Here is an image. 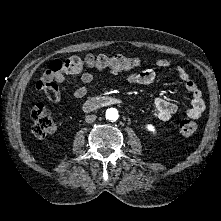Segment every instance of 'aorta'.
I'll list each match as a JSON object with an SVG mask.
<instances>
[{"label":"aorta","mask_w":221,"mask_h":221,"mask_svg":"<svg viewBox=\"0 0 221 221\" xmlns=\"http://www.w3.org/2000/svg\"><path fill=\"white\" fill-rule=\"evenodd\" d=\"M105 116L108 120L116 121L119 117L118 110L115 108H108Z\"/></svg>","instance_id":"obj_1"}]
</instances>
